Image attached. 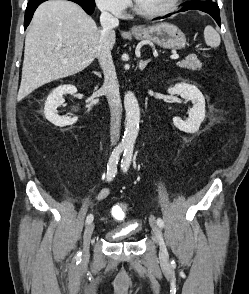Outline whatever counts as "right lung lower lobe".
I'll list each match as a JSON object with an SVG mask.
<instances>
[{
  "label": "right lung lower lobe",
  "instance_id": "1",
  "mask_svg": "<svg viewBox=\"0 0 249 294\" xmlns=\"http://www.w3.org/2000/svg\"><path fill=\"white\" fill-rule=\"evenodd\" d=\"M46 0H29V3L27 5L26 11H25V21H24V28L26 29V27L29 25L33 13L36 10V8ZM73 1L77 4H79L87 14L91 15L94 12L95 6L90 5V4H86L84 3L83 0H70Z\"/></svg>",
  "mask_w": 249,
  "mask_h": 294
}]
</instances>
